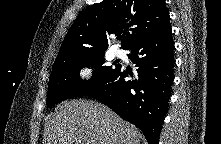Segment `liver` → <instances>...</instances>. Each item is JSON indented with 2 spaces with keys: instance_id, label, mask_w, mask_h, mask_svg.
<instances>
[{
  "instance_id": "liver-1",
  "label": "liver",
  "mask_w": 221,
  "mask_h": 144,
  "mask_svg": "<svg viewBox=\"0 0 221 144\" xmlns=\"http://www.w3.org/2000/svg\"><path fill=\"white\" fill-rule=\"evenodd\" d=\"M138 129L107 106L72 99L58 105L47 120L44 144H140Z\"/></svg>"
}]
</instances>
